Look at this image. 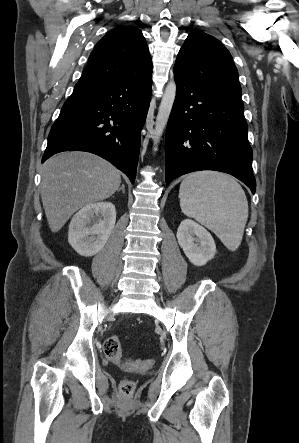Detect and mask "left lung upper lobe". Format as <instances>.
<instances>
[{
  "instance_id": "left-lung-upper-lobe-1",
  "label": "left lung upper lobe",
  "mask_w": 299,
  "mask_h": 443,
  "mask_svg": "<svg viewBox=\"0 0 299 443\" xmlns=\"http://www.w3.org/2000/svg\"><path fill=\"white\" fill-rule=\"evenodd\" d=\"M174 72L241 101L232 56L219 40L203 31L189 34L176 58Z\"/></svg>"
}]
</instances>
